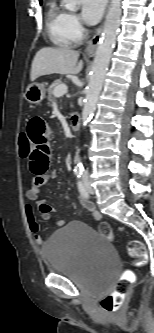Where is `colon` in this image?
Instances as JSON below:
<instances>
[{"label": "colon", "instance_id": "obj_1", "mask_svg": "<svg viewBox=\"0 0 154 333\" xmlns=\"http://www.w3.org/2000/svg\"><path fill=\"white\" fill-rule=\"evenodd\" d=\"M19 155L22 158H28L32 151V143L26 133H22L18 140ZM98 232L108 238L113 239V232L111 226L107 222H102L98 226ZM128 254L134 258L137 266H142L147 261V253L144 244L139 240H132L127 246ZM133 282V273L126 271L118 279L115 289L105 295L100 301V307L108 312L115 313L122 309L126 295Z\"/></svg>", "mask_w": 154, "mask_h": 333}]
</instances>
